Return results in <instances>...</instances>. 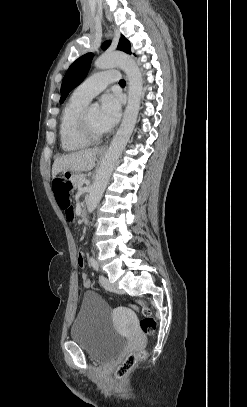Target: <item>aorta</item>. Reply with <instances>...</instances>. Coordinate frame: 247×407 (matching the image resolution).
Instances as JSON below:
<instances>
[{
	"label": "aorta",
	"instance_id": "762f6f07",
	"mask_svg": "<svg viewBox=\"0 0 247 407\" xmlns=\"http://www.w3.org/2000/svg\"><path fill=\"white\" fill-rule=\"evenodd\" d=\"M95 66L99 69L121 68L127 75L129 89L128 103L124 111L121 126L95 174L94 182L90 189L87 199L88 213H92L101 200L115 164L133 132L143 95L142 73L138 64L131 56L123 52L104 53L96 60Z\"/></svg>",
	"mask_w": 247,
	"mask_h": 407
}]
</instances>
